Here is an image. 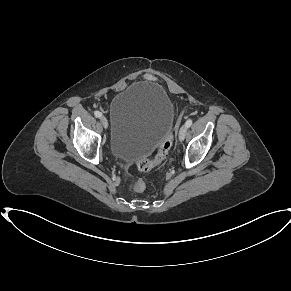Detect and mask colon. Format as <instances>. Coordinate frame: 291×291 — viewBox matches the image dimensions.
Segmentation results:
<instances>
[{
    "mask_svg": "<svg viewBox=\"0 0 291 291\" xmlns=\"http://www.w3.org/2000/svg\"><path fill=\"white\" fill-rule=\"evenodd\" d=\"M173 139H174L173 134H168L163 139L154 158L152 159L142 158L138 161L137 163L138 169L142 172H147V171H150L152 168H154L156 165L163 162L172 147ZM130 188L132 191L140 193L144 191L145 183L143 182V180L137 179V180L132 181Z\"/></svg>",
    "mask_w": 291,
    "mask_h": 291,
    "instance_id": "colon-1",
    "label": "colon"
}]
</instances>
